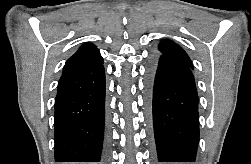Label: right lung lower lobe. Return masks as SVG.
<instances>
[{
	"mask_svg": "<svg viewBox=\"0 0 251 164\" xmlns=\"http://www.w3.org/2000/svg\"><path fill=\"white\" fill-rule=\"evenodd\" d=\"M108 159L103 64L61 76L55 99L56 162Z\"/></svg>",
	"mask_w": 251,
	"mask_h": 164,
	"instance_id": "obj_1",
	"label": "right lung lower lobe"
}]
</instances>
